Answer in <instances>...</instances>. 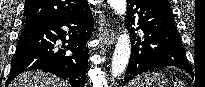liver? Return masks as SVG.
Masks as SVG:
<instances>
[{
  "instance_id": "obj_1",
  "label": "liver",
  "mask_w": 205,
  "mask_h": 87,
  "mask_svg": "<svg viewBox=\"0 0 205 87\" xmlns=\"http://www.w3.org/2000/svg\"><path fill=\"white\" fill-rule=\"evenodd\" d=\"M9 87H69V84L54 75L33 71L16 77Z\"/></svg>"
}]
</instances>
